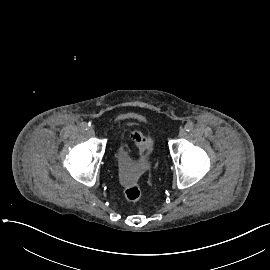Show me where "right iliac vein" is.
Masks as SVG:
<instances>
[{"label":"right iliac vein","mask_w":270,"mask_h":270,"mask_svg":"<svg viewBox=\"0 0 270 270\" xmlns=\"http://www.w3.org/2000/svg\"><path fill=\"white\" fill-rule=\"evenodd\" d=\"M87 133L91 137L95 136V132H94V130L92 128H88Z\"/></svg>","instance_id":"right-iliac-vein-1"}]
</instances>
